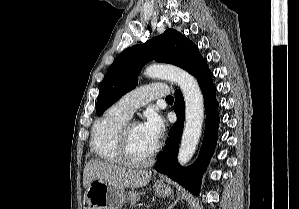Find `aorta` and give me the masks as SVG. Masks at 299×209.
Here are the masks:
<instances>
[{
  "instance_id": "obj_1",
  "label": "aorta",
  "mask_w": 299,
  "mask_h": 209,
  "mask_svg": "<svg viewBox=\"0 0 299 209\" xmlns=\"http://www.w3.org/2000/svg\"><path fill=\"white\" fill-rule=\"evenodd\" d=\"M144 74L175 82L180 87L185 101V126L178 152V162L186 165L198 145L204 120V99L197 80L185 70L172 65H149Z\"/></svg>"
}]
</instances>
